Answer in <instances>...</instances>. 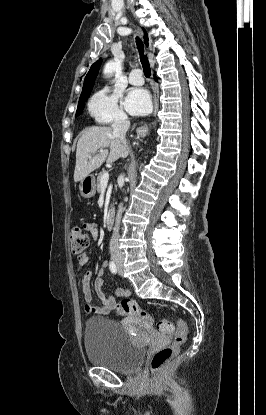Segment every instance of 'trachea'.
Instances as JSON below:
<instances>
[{"label":"trachea","mask_w":266,"mask_h":415,"mask_svg":"<svg viewBox=\"0 0 266 415\" xmlns=\"http://www.w3.org/2000/svg\"><path fill=\"white\" fill-rule=\"evenodd\" d=\"M136 44H137V49L140 54V61L143 67L144 74L147 78H149L151 75L150 64H149L147 57L144 55L143 43L139 37H136Z\"/></svg>","instance_id":"3493384b"}]
</instances>
